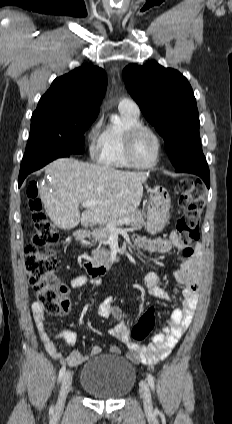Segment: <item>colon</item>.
<instances>
[{"label": "colon", "mask_w": 232, "mask_h": 424, "mask_svg": "<svg viewBox=\"0 0 232 424\" xmlns=\"http://www.w3.org/2000/svg\"><path fill=\"white\" fill-rule=\"evenodd\" d=\"M179 205L185 210L177 221L176 231L184 257L193 254L192 242L199 236V223L205 208V187L196 179H185L180 184ZM29 209L32 213L35 234L25 249V266L29 282L36 294V303L53 315L64 314L65 305L61 299V283L56 276L58 269L57 252L59 234L44 212L35 181L27 188ZM156 324L153 308L148 309L131 330L134 340H144Z\"/></svg>", "instance_id": "obj_1"}]
</instances>
